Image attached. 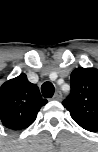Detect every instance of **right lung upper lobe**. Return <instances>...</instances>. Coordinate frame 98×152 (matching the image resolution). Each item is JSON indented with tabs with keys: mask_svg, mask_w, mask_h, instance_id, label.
I'll list each match as a JSON object with an SVG mask.
<instances>
[{
	"mask_svg": "<svg viewBox=\"0 0 98 152\" xmlns=\"http://www.w3.org/2000/svg\"><path fill=\"white\" fill-rule=\"evenodd\" d=\"M46 103L37 85L29 82L22 73L0 87V121L11 130L25 129L35 121Z\"/></svg>",
	"mask_w": 98,
	"mask_h": 152,
	"instance_id": "obj_1",
	"label": "right lung upper lobe"
}]
</instances>
